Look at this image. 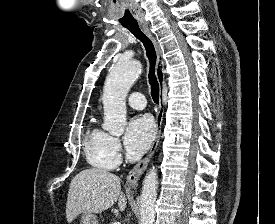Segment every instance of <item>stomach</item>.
Listing matches in <instances>:
<instances>
[{
    "label": "stomach",
    "mask_w": 275,
    "mask_h": 224,
    "mask_svg": "<svg viewBox=\"0 0 275 224\" xmlns=\"http://www.w3.org/2000/svg\"><path fill=\"white\" fill-rule=\"evenodd\" d=\"M80 224H99V221L93 213H83L80 217Z\"/></svg>",
    "instance_id": "0dacf381"
}]
</instances>
